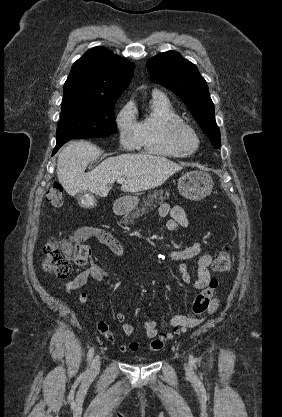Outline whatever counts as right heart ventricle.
Returning <instances> with one entry per match:
<instances>
[{"label":"right heart ventricle","instance_id":"1","mask_svg":"<svg viewBox=\"0 0 282 417\" xmlns=\"http://www.w3.org/2000/svg\"><path fill=\"white\" fill-rule=\"evenodd\" d=\"M129 112L137 123L140 145L161 155H181V152L170 143L168 137L161 131L160 125L163 120L179 119L165 96H153L149 110L140 118L135 107H130Z\"/></svg>","mask_w":282,"mask_h":417}]
</instances>
